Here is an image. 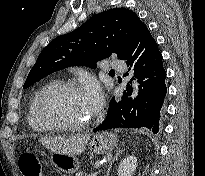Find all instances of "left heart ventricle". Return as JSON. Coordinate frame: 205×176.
Masks as SVG:
<instances>
[{
    "label": "left heart ventricle",
    "mask_w": 205,
    "mask_h": 176,
    "mask_svg": "<svg viewBox=\"0 0 205 176\" xmlns=\"http://www.w3.org/2000/svg\"><path fill=\"white\" fill-rule=\"evenodd\" d=\"M90 111L78 92H60L48 98L42 106V115L63 124L78 125L90 116Z\"/></svg>",
    "instance_id": "1"
}]
</instances>
